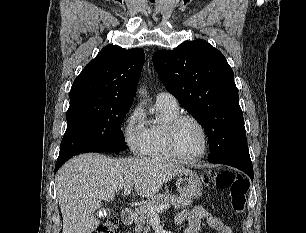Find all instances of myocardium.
I'll return each mask as SVG.
<instances>
[{
  "mask_svg": "<svg viewBox=\"0 0 306 233\" xmlns=\"http://www.w3.org/2000/svg\"><path fill=\"white\" fill-rule=\"evenodd\" d=\"M186 121H191L195 123L199 129L202 132L203 135V140H204V146L203 150L200 154L198 155H185L180 150L178 149L177 142H176V137H177V131L179 127ZM166 139H167V144L169 147V150L171 153L174 155V157L185 160V161H196L199 160L203 157L206 156L208 149H209V136L208 132L203 125V123L197 119L196 117L192 115H178L176 118L171 120L169 124L167 125L166 129Z\"/></svg>",
  "mask_w": 306,
  "mask_h": 233,
  "instance_id": "obj_1",
  "label": "myocardium"
}]
</instances>
